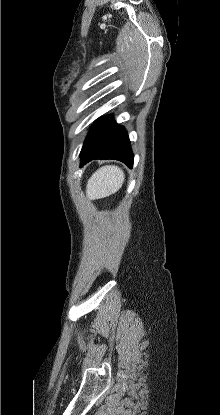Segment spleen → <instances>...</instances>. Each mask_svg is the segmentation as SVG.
<instances>
[{
	"label": "spleen",
	"mask_w": 220,
	"mask_h": 415,
	"mask_svg": "<svg viewBox=\"0 0 220 415\" xmlns=\"http://www.w3.org/2000/svg\"><path fill=\"white\" fill-rule=\"evenodd\" d=\"M124 179L123 170L117 166L107 165L99 168L87 182V198L95 200L116 193L122 187Z\"/></svg>",
	"instance_id": "spleen-1"
}]
</instances>
